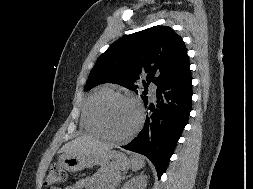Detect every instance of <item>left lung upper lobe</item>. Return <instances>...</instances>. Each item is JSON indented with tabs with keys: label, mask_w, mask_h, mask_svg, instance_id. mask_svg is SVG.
Here are the masks:
<instances>
[{
	"label": "left lung upper lobe",
	"mask_w": 253,
	"mask_h": 189,
	"mask_svg": "<svg viewBox=\"0 0 253 189\" xmlns=\"http://www.w3.org/2000/svg\"><path fill=\"white\" fill-rule=\"evenodd\" d=\"M187 58L182 38L171 27L154 26L114 42L97 60L89 74L85 91L102 83H115L138 92L137 83L146 74L145 87L157 88L178 71ZM146 91L141 95L148 102Z\"/></svg>",
	"instance_id": "obj_1"
}]
</instances>
